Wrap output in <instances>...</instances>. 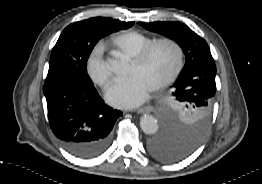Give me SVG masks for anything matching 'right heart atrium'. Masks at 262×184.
Returning <instances> with one entry per match:
<instances>
[{"mask_svg":"<svg viewBox=\"0 0 262 184\" xmlns=\"http://www.w3.org/2000/svg\"><path fill=\"white\" fill-rule=\"evenodd\" d=\"M86 70L89 79L103 90H106L114 79L110 63L104 57L102 45H96L88 56Z\"/></svg>","mask_w":262,"mask_h":184,"instance_id":"d8ad5b80","label":"right heart atrium"}]
</instances>
